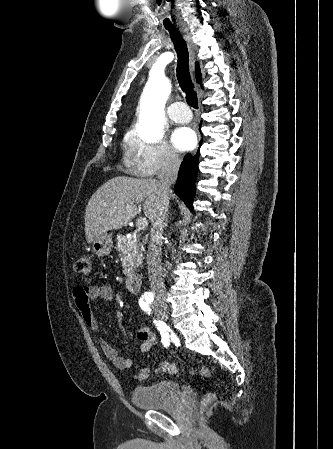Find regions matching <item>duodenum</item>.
I'll list each match as a JSON object with an SVG mask.
<instances>
[{"label":"duodenum","mask_w":333,"mask_h":449,"mask_svg":"<svg viewBox=\"0 0 333 449\" xmlns=\"http://www.w3.org/2000/svg\"><path fill=\"white\" fill-rule=\"evenodd\" d=\"M142 284V275L139 273H131L125 281V288L130 293H138Z\"/></svg>","instance_id":"duodenum-1"}]
</instances>
